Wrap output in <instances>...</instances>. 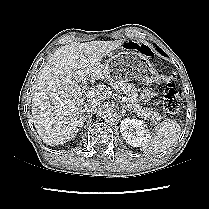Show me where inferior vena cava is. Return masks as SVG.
Masks as SVG:
<instances>
[{"mask_svg": "<svg viewBox=\"0 0 209 209\" xmlns=\"http://www.w3.org/2000/svg\"><path fill=\"white\" fill-rule=\"evenodd\" d=\"M84 107H85L84 110L87 114L93 115L97 113L98 110L100 109V102L96 100H91V101L86 102Z\"/></svg>", "mask_w": 209, "mask_h": 209, "instance_id": "1", "label": "inferior vena cava"}]
</instances>
